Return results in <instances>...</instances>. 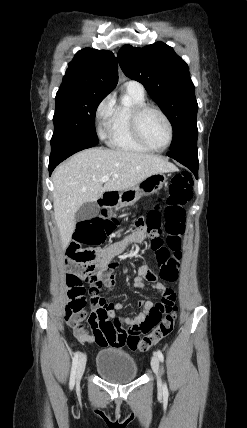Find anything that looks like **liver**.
Wrapping results in <instances>:
<instances>
[{
	"mask_svg": "<svg viewBox=\"0 0 247 428\" xmlns=\"http://www.w3.org/2000/svg\"><path fill=\"white\" fill-rule=\"evenodd\" d=\"M177 170L160 156L121 149L90 148L72 156L52 176L54 216L62 247L71 241L75 214L84 203L97 201L106 191L133 188L151 175ZM105 175L110 179L101 182Z\"/></svg>",
	"mask_w": 247,
	"mask_h": 428,
	"instance_id": "obj_1",
	"label": "liver"
}]
</instances>
